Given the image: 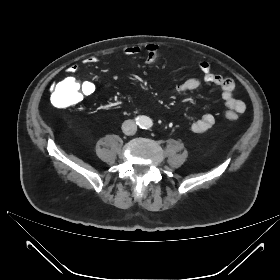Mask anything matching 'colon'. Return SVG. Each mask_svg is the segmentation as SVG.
Returning <instances> with one entry per match:
<instances>
[{"label": "colon", "instance_id": "obj_1", "mask_svg": "<svg viewBox=\"0 0 280 280\" xmlns=\"http://www.w3.org/2000/svg\"><path fill=\"white\" fill-rule=\"evenodd\" d=\"M79 83L72 76H65L58 80L51 92V102L57 108H64L78 104L82 98ZM236 115L230 114L227 119L235 120Z\"/></svg>", "mask_w": 280, "mask_h": 280}]
</instances>
